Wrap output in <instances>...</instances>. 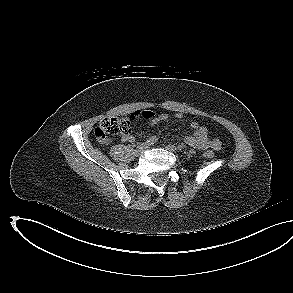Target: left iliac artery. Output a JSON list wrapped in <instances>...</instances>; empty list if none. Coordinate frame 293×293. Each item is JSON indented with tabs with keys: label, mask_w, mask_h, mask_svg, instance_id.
Listing matches in <instances>:
<instances>
[{
	"label": "left iliac artery",
	"mask_w": 293,
	"mask_h": 293,
	"mask_svg": "<svg viewBox=\"0 0 293 293\" xmlns=\"http://www.w3.org/2000/svg\"><path fill=\"white\" fill-rule=\"evenodd\" d=\"M177 148H178V150H179V151H182V150H183V148H184V145H182V144H181V145H178V147H177Z\"/></svg>",
	"instance_id": "obj_1"
}]
</instances>
